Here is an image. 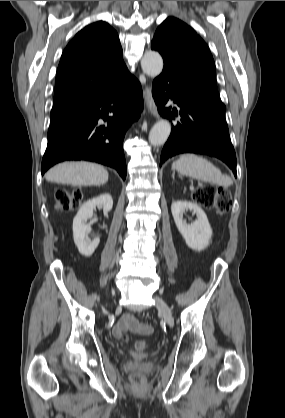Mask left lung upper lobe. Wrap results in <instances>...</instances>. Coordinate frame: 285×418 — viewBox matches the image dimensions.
Returning <instances> with one entry per match:
<instances>
[{
  "mask_svg": "<svg viewBox=\"0 0 285 418\" xmlns=\"http://www.w3.org/2000/svg\"><path fill=\"white\" fill-rule=\"evenodd\" d=\"M151 48L160 52L164 65L171 66L202 88L219 95L211 52L202 38L186 23L168 17L157 28Z\"/></svg>",
  "mask_w": 285,
  "mask_h": 418,
  "instance_id": "obj_1",
  "label": "left lung upper lobe"
}]
</instances>
